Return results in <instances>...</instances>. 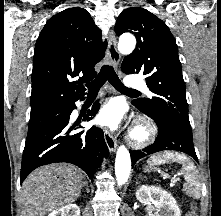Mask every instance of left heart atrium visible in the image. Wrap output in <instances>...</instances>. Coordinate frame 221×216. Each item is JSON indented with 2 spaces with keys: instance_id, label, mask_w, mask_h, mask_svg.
I'll list each match as a JSON object with an SVG mask.
<instances>
[{
  "instance_id": "1",
  "label": "left heart atrium",
  "mask_w": 221,
  "mask_h": 216,
  "mask_svg": "<svg viewBox=\"0 0 221 216\" xmlns=\"http://www.w3.org/2000/svg\"><path fill=\"white\" fill-rule=\"evenodd\" d=\"M123 116L121 106L116 102H110L101 108L95 121L98 125L115 129Z\"/></svg>"
}]
</instances>
